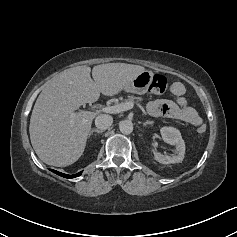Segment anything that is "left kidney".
Returning a JSON list of instances; mask_svg holds the SVG:
<instances>
[{"mask_svg":"<svg viewBox=\"0 0 237 237\" xmlns=\"http://www.w3.org/2000/svg\"><path fill=\"white\" fill-rule=\"evenodd\" d=\"M160 133L164 142L176 146L177 155L175 156L163 155L152 149L155 160L162 164L182 162L185 155V142L182 139L179 130L173 127H162L160 129Z\"/></svg>","mask_w":237,"mask_h":237,"instance_id":"5707ae66","label":"left kidney"}]
</instances>
